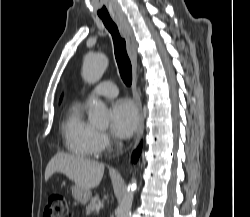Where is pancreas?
<instances>
[{
  "label": "pancreas",
  "mask_w": 250,
  "mask_h": 217,
  "mask_svg": "<svg viewBox=\"0 0 250 217\" xmlns=\"http://www.w3.org/2000/svg\"><path fill=\"white\" fill-rule=\"evenodd\" d=\"M99 203V198L98 197H94L91 199L90 203L86 206V214H91L92 212H94L96 210V206Z\"/></svg>",
  "instance_id": "1"
}]
</instances>
